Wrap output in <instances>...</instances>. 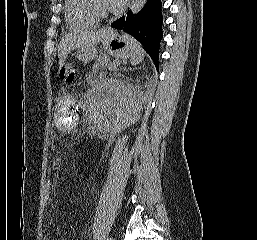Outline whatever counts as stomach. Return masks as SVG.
<instances>
[{
    "label": "stomach",
    "instance_id": "stomach-1",
    "mask_svg": "<svg viewBox=\"0 0 257 240\" xmlns=\"http://www.w3.org/2000/svg\"><path fill=\"white\" fill-rule=\"evenodd\" d=\"M103 46L108 53L115 57L126 58L131 53V43L125 36H120L112 29H108L106 37L103 39ZM77 58L84 64L89 63L96 56L95 46L80 47L76 52Z\"/></svg>",
    "mask_w": 257,
    "mask_h": 240
}]
</instances>
